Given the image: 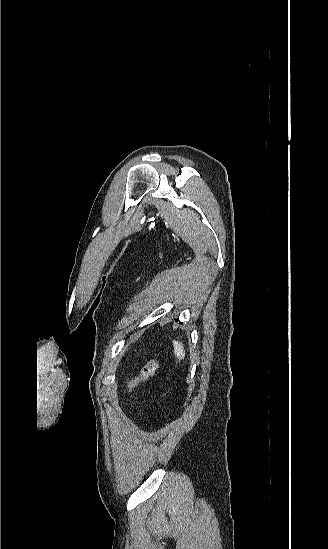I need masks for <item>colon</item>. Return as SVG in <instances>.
Segmentation results:
<instances>
[{"mask_svg":"<svg viewBox=\"0 0 328 549\" xmlns=\"http://www.w3.org/2000/svg\"><path fill=\"white\" fill-rule=\"evenodd\" d=\"M159 367V360L157 356L151 357L148 362L144 365L140 373L132 378L125 389V394L131 393L138 385L141 383L147 381L150 377H152L155 372L157 371Z\"/></svg>","mask_w":328,"mask_h":549,"instance_id":"obj_1","label":"colon"}]
</instances>
